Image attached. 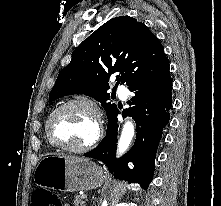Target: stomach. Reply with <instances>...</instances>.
Wrapping results in <instances>:
<instances>
[{
    "instance_id": "obj_1",
    "label": "stomach",
    "mask_w": 221,
    "mask_h": 206,
    "mask_svg": "<svg viewBox=\"0 0 221 206\" xmlns=\"http://www.w3.org/2000/svg\"><path fill=\"white\" fill-rule=\"evenodd\" d=\"M103 180V170L94 162L62 154L42 158L34 171L37 186L57 191L90 190Z\"/></svg>"
}]
</instances>
